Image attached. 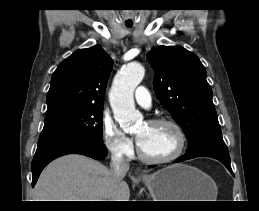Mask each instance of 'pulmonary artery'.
<instances>
[{"instance_id":"e3ab8cb5","label":"pulmonary artery","mask_w":259,"mask_h":211,"mask_svg":"<svg viewBox=\"0 0 259 211\" xmlns=\"http://www.w3.org/2000/svg\"><path fill=\"white\" fill-rule=\"evenodd\" d=\"M135 99L138 104L144 107H148L151 104V96L148 90L143 87L139 86L135 91Z\"/></svg>"}]
</instances>
